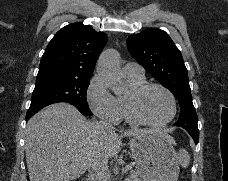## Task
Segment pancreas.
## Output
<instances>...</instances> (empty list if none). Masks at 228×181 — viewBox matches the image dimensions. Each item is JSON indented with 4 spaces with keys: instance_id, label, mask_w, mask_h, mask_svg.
I'll return each instance as SVG.
<instances>
[{
    "instance_id": "obj_1",
    "label": "pancreas",
    "mask_w": 228,
    "mask_h": 181,
    "mask_svg": "<svg viewBox=\"0 0 228 181\" xmlns=\"http://www.w3.org/2000/svg\"><path fill=\"white\" fill-rule=\"evenodd\" d=\"M129 177L130 179H127V181H140V179H138V173H136V171H130Z\"/></svg>"
}]
</instances>
